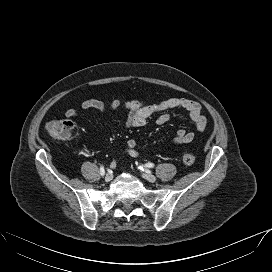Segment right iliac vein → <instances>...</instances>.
Returning <instances> with one entry per match:
<instances>
[{"label":"right iliac vein","instance_id":"obj_1","mask_svg":"<svg viewBox=\"0 0 272 272\" xmlns=\"http://www.w3.org/2000/svg\"><path fill=\"white\" fill-rule=\"evenodd\" d=\"M112 178H113V175H112V173H110V172L107 173V174L105 175V177H104V179H105L106 182L111 181Z\"/></svg>","mask_w":272,"mask_h":272}]
</instances>
